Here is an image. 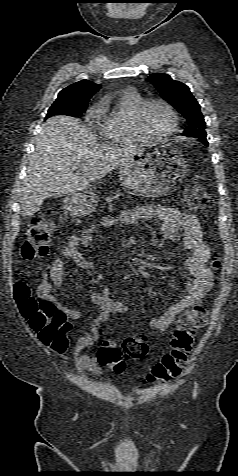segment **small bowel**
I'll return each instance as SVG.
<instances>
[{
  "mask_svg": "<svg viewBox=\"0 0 238 476\" xmlns=\"http://www.w3.org/2000/svg\"><path fill=\"white\" fill-rule=\"evenodd\" d=\"M157 218L161 221L160 232L166 239H175L182 234L185 247L191 251L186 261V266L192 281L187 285L188 295L172 304L160 316L150 320L149 326L159 332L167 330L175 318L185 310L199 304L201 299L212 287L213 273L208 266L210 249L204 240V235L198 219L189 213L181 212L175 208L157 205H142L130 208L118 218L104 217L84 229L80 234L73 235L65 248L62 256L72 260L78 267L92 269V262L81 252L92 241L93 232L101 227H109L121 223L134 227L140 220ZM64 265L62 259L54 260L47 266L41 282L37 286V295L40 300L53 304L56 309L70 319H79L83 316L82 309L68 308L60 304L52 294L53 288L63 286ZM90 302L96 305L99 313L93 319L83 336L75 341L71 354L78 370L88 371L95 375L102 370V365L97 355L85 353V349L98 342L101 338L100 329L112 314H124L129 307L111 297L107 287L91 294Z\"/></svg>",
  "mask_w": 238,
  "mask_h": 476,
  "instance_id": "c3829d8e",
  "label": "small bowel"
}]
</instances>
